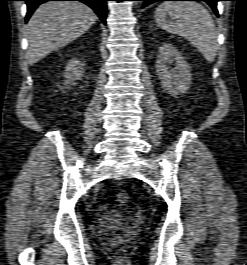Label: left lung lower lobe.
Masks as SVG:
<instances>
[{"mask_svg":"<svg viewBox=\"0 0 247 265\" xmlns=\"http://www.w3.org/2000/svg\"><path fill=\"white\" fill-rule=\"evenodd\" d=\"M138 1H144L143 7H146L154 2L157 1H169V0H138ZM193 1H204L210 5V7L213 9L216 16H219L218 10H217V2L222 0H193Z\"/></svg>","mask_w":247,"mask_h":265,"instance_id":"obj_1","label":"left lung lower lobe"}]
</instances>
